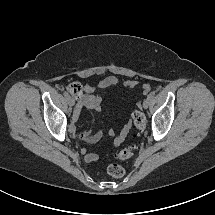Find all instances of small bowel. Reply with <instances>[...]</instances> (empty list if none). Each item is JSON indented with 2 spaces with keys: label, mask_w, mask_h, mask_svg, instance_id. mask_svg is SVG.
<instances>
[{
  "label": "small bowel",
  "mask_w": 215,
  "mask_h": 215,
  "mask_svg": "<svg viewBox=\"0 0 215 215\" xmlns=\"http://www.w3.org/2000/svg\"><path fill=\"white\" fill-rule=\"evenodd\" d=\"M118 79L115 76H107L103 78L97 86H92L85 84L82 86L81 92L76 96L78 100L77 107L73 114V123L71 125V131L76 135L78 139L85 143L93 144L98 142L103 135L105 134L102 130H94L90 132L76 133L74 123L78 120L80 110L84 109L91 114H97L101 111L103 106V98L95 94V90L98 89H108L118 84ZM124 87L126 88H136L139 85V82L135 79H129L123 82ZM150 86L148 84H143L141 90L143 93L148 92ZM131 128V123L127 122L122 129L115 133L113 130H108L107 135L113 137V145L119 146L125 137L127 136ZM82 153L85 155V160L87 162H94L98 159V155L95 153H87L85 149H82Z\"/></svg>",
  "instance_id": "1"
}]
</instances>
